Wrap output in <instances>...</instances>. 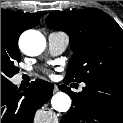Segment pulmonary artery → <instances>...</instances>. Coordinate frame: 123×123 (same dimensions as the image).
Listing matches in <instances>:
<instances>
[{"instance_id": "e3ab8cb5", "label": "pulmonary artery", "mask_w": 123, "mask_h": 123, "mask_svg": "<svg viewBox=\"0 0 123 123\" xmlns=\"http://www.w3.org/2000/svg\"><path fill=\"white\" fill-rule=\"evenodd\" d=\"M69 45V37L66 33L53 31L48 35V49L51 55L56 56L62 54ZM82 84L81 87H84Z\"/></svg>"}]
</instances>
